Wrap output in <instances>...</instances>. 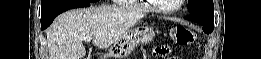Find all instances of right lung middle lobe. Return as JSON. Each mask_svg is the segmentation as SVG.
I'll use <instances>...</instances> for the list:
<instances>
[{"label": "right lung middle lobe", "instance_id": "obj_1", "mask_svg": "<svg viewBox=\"0 0 261 59\" xmlns=\"http://www.w3.org/2000/svg\"><path fill=\"white\" fill-rule=\"evenodd\" d=\"M76 0H42L41 1V16L47 14L49 11ZM87 2H97L98 0H83Z\"/></svg>", "mask_w": 261, "mask_h": 59}]
</instances>
